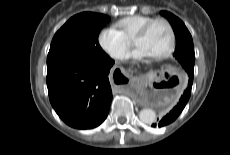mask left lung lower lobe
I'll return each mask as SVG.
<instances>
[{"label": "left lung lower lobe", "mask_w": 230, "mask_h": 155, "mask_svg": "<svg viewBox=\"0 0 230 155\" xmlns=\"http://www.w3.org/2000/svg\"><path fill=\"white\" fill-rule=\"evenodd\" d=\"M184 68L186 72L188 73L189 76V81L188 85L185 88L184 92L181 93V97L179 99V102L177 105L166 115L164 116L159 123H154L152 124V127H162L167 124H170L173 122L182 112L184 109L185 105L187 104L190 94H191V89H192V83H193V76H194V66L189 64V62L184 63ZM174 79L171 80L173 82Z\"/></svg>", "instance_id": "left-lung-lower-lobe-1"}]
</instances>
